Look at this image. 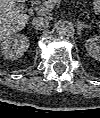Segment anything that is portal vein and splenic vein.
Instances as JSON below:
<instances>
[{"mask_svg":"<svg viewBox=\"0 0 100 118\" xmlns=\"http://www.w3.org/2000/svg\"><path fill=\"white\" fill-rule=\"evenodd\" d=\"M61 0H47L43 5L37 6L36 11L39 14H47L50 12L56 3H60Z\"/></svg>","mask_w":100,"mask_h":118,"instance_id":"18ae733b","label":"portal vein and splenic vein"}]
</instances>
